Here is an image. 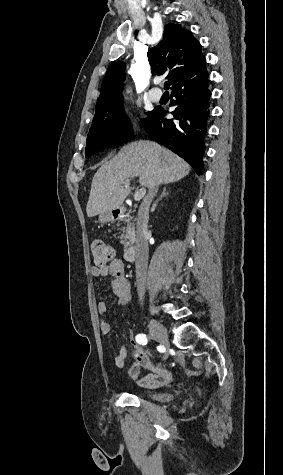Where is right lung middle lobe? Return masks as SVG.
I'll use <instances>...</instances> for the list:
<instances>
[{
    "label": "right lung middle lobe",
    "mask_w": 283,
    "mask_h": 475,
    "mask_svg": "<svg viewBox=\"0 0 283 475\" xmlns=\"http://www.w3.org/2000/svg\"><path fill=\"white\" fill-rule=\"evenodd\" d=\"M141 126L149 121L152 111L147 113ZM133 130L127 118L123 104L95 108V116L87 136L86 157L105 148L131 140Z\"/></svg>",
    "instance_id": "dd1d6c3e"
}]
</instances>
